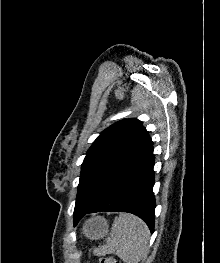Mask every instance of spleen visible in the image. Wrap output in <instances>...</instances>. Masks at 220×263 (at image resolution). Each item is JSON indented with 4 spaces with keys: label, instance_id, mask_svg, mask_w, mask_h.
Instances as JSON below:
<instances>
[{
    "label": "spleen",
    "instance_id": "1",
    "mask_svg": "<svg viewBox=\"0 0 220 263\" xmlns=\"http://www.w3.org/2000/svg\"><path fill=\"white\" fill-rule=\"evenodd\" d=\"M150 232L147 225L132 214L115 218L106 244L94 250L97 255L116 254L126 263H138L147 255Z\"/></svg>",
    "mask_w": 220,
    "mask_h": 263
}]
</instances>
